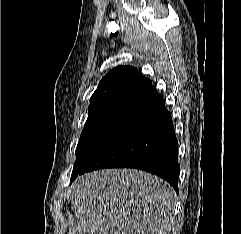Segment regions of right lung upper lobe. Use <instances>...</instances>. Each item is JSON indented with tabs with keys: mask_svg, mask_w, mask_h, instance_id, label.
<instances>
[{
	"mask_svg": "<svg viewBox=\"0 0 241 234\" xmlns=\"http://www.w3.org/2000/svg\"><path fill=\"white\" fill-rule=\"evenodd\" d=\"M157 90L151 80L144 77L136 68L120 66L111 70L100 81L97 90L90 99V106L113 103L138 105L148 99Z\"/></svg>",
	"mask_w": 241,
	"mask_h": 234,
	"instance_id": "obj_1",
	"label": "right lung upper lobe"
}]
</instances>
